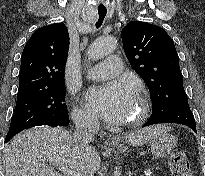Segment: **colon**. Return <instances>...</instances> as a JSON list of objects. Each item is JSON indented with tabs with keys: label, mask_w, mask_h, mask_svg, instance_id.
<instances>
[{
	"label": "colon",
	"mask_w": 205,
	"mask_h": 176,
	"mask_svg": "<svg viewBox=\"0 0 205 176\" xmlns=\"http://www.w3.org/2000/svg\"><path fill=\"white\" fill-rule=\"evenodd\" d=\"M169 166L174 176H193L187 155L182 149H175L171 153Z\"/></svg>",
	"instance_id": "1"
}]
</instances>
